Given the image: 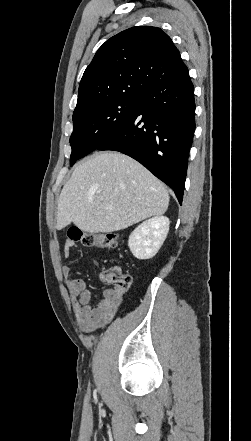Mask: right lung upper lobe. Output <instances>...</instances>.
I'll list each match as a JSON object with an SVG mask.
<instances>
[{
  "instance_id": "1",
  "label": "right lung upper lobe",
  "mask_w": 251,
  "mask_h": 441,
  "mask_svg": "<svg viewBox=\"0 0 251 441\" xmlns=\"http://www.w3.org/2000/svg\"><path fill=\"white\" fill-rule=\"evenodd\" d=\"M185 67L179 50L160 28L136 26L124 30L108 39L86 68L74 113L101 99L141 95Z\"/></svg>"
}]
</instances>
